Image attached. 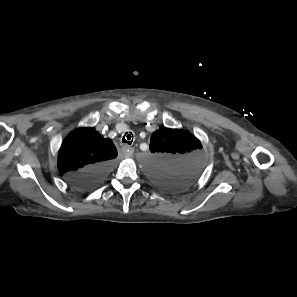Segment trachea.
Here are the masks:
<instances>
[{
  "mask_svg": "<svg viewBox=\"0 0 297 297\" xmlns=\"http://www.w3.org/2000/svg\"><path fill=\"white\" fill-rule=\"evenodd\" d=\"M131 134L124 135L122 138V143H127V144L131 145V143L133 141V139H131L132 138Z\"/></svg>",
  "mask_w": 297,
  "mask_h": 297,
  "instance_id": "trachea-1",
  "label": "trachea"
}]
</instances>
